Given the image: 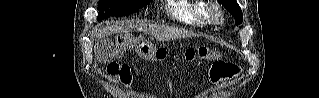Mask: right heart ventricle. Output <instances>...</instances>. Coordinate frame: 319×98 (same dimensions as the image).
I'll return each mask as SVG.
<instances>
[{"label":"right heart ventricle","mask_w":319,"mask_h":98,"mask_svg":"<svg viewBox=\"0 0 319 98\" xmlns=\"http://www.w3.org/2000/svg\"><path fill=\"white\" fill-rule=\"evenodd\" d=\"M167 13L175 20L197 28L207 25L205 7L200 1H176L166 8Z\"/></svg>","instance_id":"1"}]
</instances>
